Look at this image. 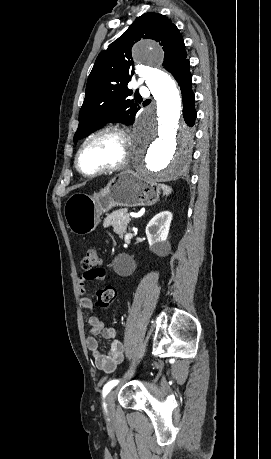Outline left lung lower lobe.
Returning a JSON list of instances; mask_svg holds the SVG:
<instances>
[{
    "mask_svg": "<svg viewBox=\"0 0 271 459\" xmlns=\"http://www.w3.org/2000/svg\"><path fill=\"white\" fill-rule=\"evenodd\" d=\"M180 90L182 93L183 100V116L184 120L188 126H193L196 119V110H195V96L192 91L191 82L192 76L190 73L189 60H183L172 72Z\"/></svg>",
    "mask_w": 271,
    "mask_h": 459,
    "instance_id": "left-lung-lower-lobe-1",
    "label": "left lung lower lobe"
}]
</instances>
